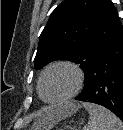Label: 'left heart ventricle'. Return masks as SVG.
<instances>
[{
	"label": "left heart ventricle",
	"instance_id": "obj_1",
	"mask_svg": "<svg viewBox=\"0 0 123 130\" xmlns=\"http://www.w3.org/2000/svg\"><path fill=\"white\" fill-rule=\"evenodd\" d=\"M74 73L66 67H56L47 72L43 80V95L54 100L68 94L75 85Z\"/></svg>",
	"mask_w": 123,
	"mask_h": 130
}]
</instances>
